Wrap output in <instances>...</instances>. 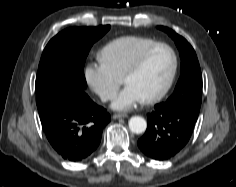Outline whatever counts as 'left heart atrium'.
Masks as SVG:
<instances>
[{
  "label": "left heart atrium",
  "mask_w": 236,
  "mask_h": 187,
  "mask_svg": "<svg viewBox=\"0 0 236 187\" xmlns=\"http://www.w3.org/2000/svg\"><path fill=\"white\" fill-rule=\"evenodd\" d=\"M141 96L136 92V90L126 85L122 91L116 96L112 107L115 110L126 111L133 108L137 103L141 102Z\"/></svg>",
  "instance_id": "39dd6f15"
}]
</instances>
